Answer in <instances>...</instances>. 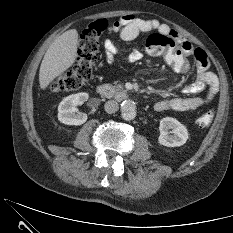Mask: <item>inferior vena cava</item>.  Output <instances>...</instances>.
Instances as JSON below:
<instances>
[{
	"label": "inferior vena cava",
	"instance_id": "obj_1",
	"mask_svg": "<svg viewBox=\"0 0 233 233\" xmlns=\"http://www.w3.org/2000/svg\"><path fill=\"white\" fill-rule=\"evenodd\" d=\"M105 111L109 114L115 113L119 109V105L114 100H109L104 105Z\"/></svg>",
	"mask_w": 233,
	"mask_h": 233
}]
</instances>
